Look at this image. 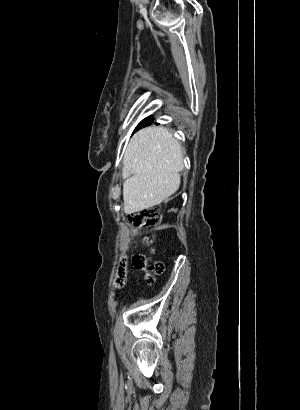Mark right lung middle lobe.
<instances>
[{
	"label": "right lung middle lobe",
	"instance_id": "obj_1",
	"mask_svg": "<svg viewBox=\"0 0 300 410\" xmlns=\"http://www.w3.org/2000/svg\"><path fill=\"white\" fill-rule=\"evenodd\" d=\"M150 117H148V118H146V119H144L140 124H142L143 122H145L147 119H149ZM140 124L138 125V127L137 128H139V127H141L140 126Z\"/></svg>",
	"mask_w": 300,
	"mask_h": 410
}]
</instances>
